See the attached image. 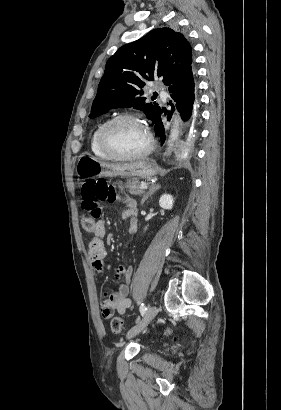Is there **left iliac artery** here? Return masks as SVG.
Wrapping results in <instances>:
<instances>
[{
  "label": "left iliac artery",
  "mask_w": 281,
  "mask_h": 410,
  "mask_svg": "<svg viewBox=\"0 0 281 410\" xmlns=\"http://www.w3.org/2000/svg\"><path fill=\"white\" fill-rule=\"evenodd\" d=\"M146 311H147L146 305H145L144 303H141V305H140V313H141V315H144Z\"/></svg>",
  "instance_id": "44dca946"
}]
</instances>
